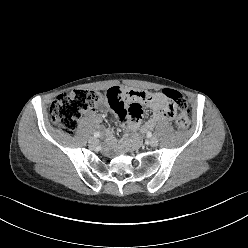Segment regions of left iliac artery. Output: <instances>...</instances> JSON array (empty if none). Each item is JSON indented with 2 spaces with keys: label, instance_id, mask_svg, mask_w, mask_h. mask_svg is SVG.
<instances>
[{
  "label": "left iliac artery",
  "instance_id": "44dca946",
  "mask_svg": "<svg viewBox=\"0 0 248 248\" xmlns=\"http://www.w3.org/2000/svg\"><path fill=\"white\" fill-rule=\"evenodd\" d=\"M152 136V133L151 132H148V137H151Z\"/></svg>",
  "mask_w": 248,
  "mask_h": 248
}]
</instances>
